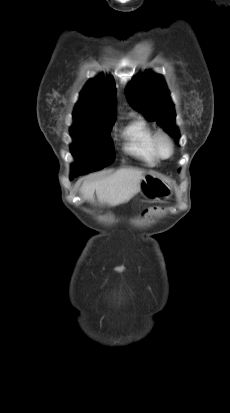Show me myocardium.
I'll use <instances>...</instances> for the list:
<instances>
[{"mask_svg":"<svg viewBox=\"0 0 230 413\" xmlns=\"http://www.w3.org/2000/svg\"><path fill=\"white\" fill-rule=\"evenodd\" d=\"M165 144L169 152L167 154L163 153L162 151V145ZM153 148L155 151V154L158 158L166 160L169 159L173 156L174 154V143L170 136L164 132V131H156L153 135Z\"/></svg>","mask_w":230,"mask_h":413,"instance_id":"1","label":"myocardium"}]
</instances>
